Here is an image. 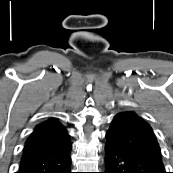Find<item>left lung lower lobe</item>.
<instances>
[{
    "instance_id": "1",
    "label": "left lung lower lobe",
    "mask_w": 173,
    "mask_h": 173,
    "mask_svg": "<svg viewBox=\"0 0 173 173\" xmlns=\"http://www.w3.org/2000/svg\"><path fill=\"white\" fill-rule=\"evenodd\" d=\"M104 173H165L162 161L106 143Z\"/></svg>"
}]
</instances>
